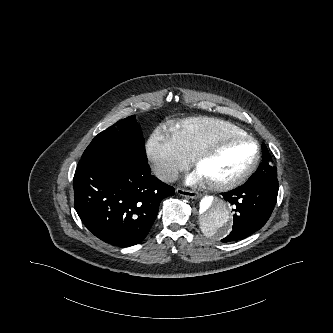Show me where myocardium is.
Segmentation results:
<instances>
[{"instance_id":"1","label":"myocardium","mask_w":333,"mask_h":333,"mask_svg":"<svg viewBox=\"0 0 333 333\" xmlns=\"http://www.w3.org/2000/svg\"><path fill=\"white\" fill-rule=\"evenodd\" d=\"M227 140H243L252 143L255 147V154L249 165L237 176L226 181H209L206 180V185L214 191H227L238 187L245 182L253 173L260 160V145L259 142L249 134L225 133L218 135L207 143H205L192 157L193 166L197 169L200 163L222 142Z\"/></svg>"}]
</instances>
